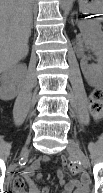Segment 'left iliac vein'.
<instances>
[{
  "instance_id": "obj_1",
  "label": "left iliac vein",
  "mask_w": 103,
  "mask_h": 193,
  "mask_svg": "<svg viewBox=\"0 0 103 193\" xmlns=\"http://www.w3.org/2000/svg\"><path fill=\"white\" fill-rule=\"evenodd\" d=\"M67 150L69 153L74 155L81 163L82 165L87 168L88 167V160L83 153V151L80 149L78 143H76L74 140L69 139L68 145H67Z\"/></svg>"
}]
</instances>
